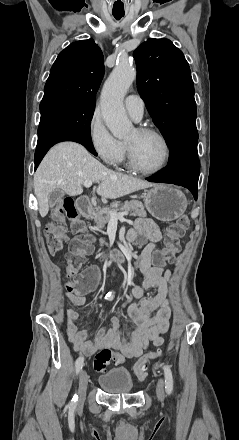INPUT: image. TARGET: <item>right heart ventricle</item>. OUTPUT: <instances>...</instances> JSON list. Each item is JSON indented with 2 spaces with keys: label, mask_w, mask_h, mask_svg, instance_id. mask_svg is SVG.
I'll use <instances>...</instances> for the list:
<instances>
[{
  "label": "right heart ventricle",
  "mask_w": 239,
  "mask_h": 440,
  "mask_svg": "<svg viewBox=\"0 0 239 440\" xmlns=\"http://www.w3.org/2000/svg\"><path fill=\"white\" fill-rule=\"evenodd\" d=\"M125 160H126V155H124V157H123V160H122V161H123V162H125V164L127 165V163H126V161H125Z\"/></svg>",
  "instance_id": "obj_1"
}]
</instances>
